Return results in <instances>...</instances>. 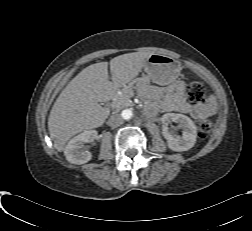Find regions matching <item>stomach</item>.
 I'll return each mask as SVG.
<instances>
[{
	"instance_id": "0dacf381",
	"label": "stomach",
	"mask_w": 252,
	"mask_h": 231,
	"mask_svg": "<svg viewBox=\"0 0 252 231\" xmlns=\"http://www.w3.org/2000/svg\"><path fill=\"white\" fill-rule=\"evenodd\" d=\"M146 77L141 78L137 87L140 89L145 83L152 81L158 85L173 88L178 77V65L168 56L152 54L145 66Z\"/></svg>"
}]
</instances>
